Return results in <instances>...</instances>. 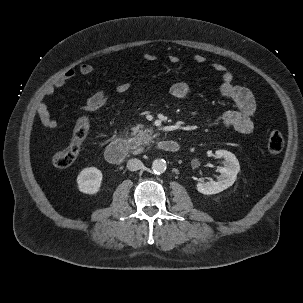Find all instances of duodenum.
<instances>
[{"label":"duodenum","instance_id":"1","mask_svg":"<svg viewBox=\"0 0 303 303\" xmlns=\"http://www.w3.org/2000/svg\"><path fill=\"white\" fill-rule=\"evenodd\" d=\"M157 147L160 151L167 153H175L178 152L180 149L179 143L171 139H164L158 141ZM127 152H128L127 140L125 138H119L113 140L106 147L105 157L108 162L112 164H119L125 159Z\"/></svg>","mask_w":303,"mask_h":303}]
</instances>
